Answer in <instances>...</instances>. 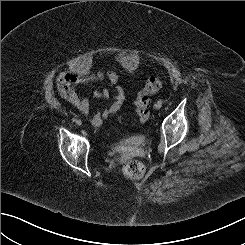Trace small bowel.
Wrapping results in <instances>:
<instances>
[{
  "label": "small bowel",
  "mask_w": 245,
  "mask_h": 245,
  "mask_svg": "<svg viewBox=\"0 0 245 245\" xmlns=\"http://www.w3.org/2000/svg\"><path fill=\"white\" fill-rule=\"evenodd\" d=\"M92 82L101 83L100 88L93 90L92 95L97 99H109L111 102L103 109L92 115L88 121L94 126H100L104 120L110 118L121 108L125 101L124 88L119 84V74L115 70L107 72L99 71L96 73H73L63 71L57 77V89L60 96L69 104L75 107L82 114L88 116L91 111L90 102L82 97L75 89L77 85Z\"/></svg>",
  "instance_id": "c3829d8e"
}]
</instances>
